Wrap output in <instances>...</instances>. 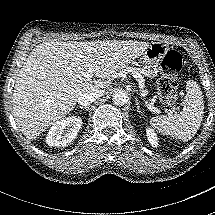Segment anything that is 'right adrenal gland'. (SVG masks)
<instances>
[{"label":"right adrenal gland","instance_id":"right-adrenal-gland-1","mask_svg":"<svg viewBox=\"0 0 215 215\" xmlns=\"http://www.w3.org/2000/svg\"><path fill=\"white\" fill-rule=\"evenodd\" d=\"M80 109H83V110H85V111H88V110H89V107L80 106Z\"/></svg>","mask_w":215,"mask_h":215}]
</instances>
